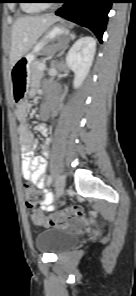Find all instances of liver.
I'll return each mask as SVG.
<instances>
[{"label": "liver", "instance_id": "1", "mask_svg": "<svg viewBox=\"0 0 136 296\" xmlns=\"http://www.w3.org/2000/svg\"><path fill=\"white\" fill-rule=\"evenodd\" d=\"M60 18L51 14L25 15L13 24L11 32L10 64L13 66L36 43L39 37Z\"/></svg>", "mask_w": 136, "mask_h": 296}]
</instances>
